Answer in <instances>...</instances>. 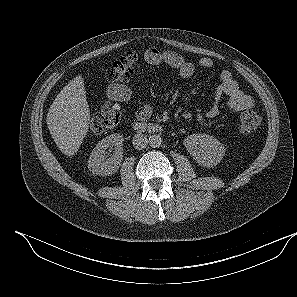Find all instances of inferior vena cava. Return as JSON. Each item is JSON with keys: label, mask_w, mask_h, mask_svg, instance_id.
<instances>
[{"label": "inferior vena cava", "mask_w": 297, "mask_h": 297, "mask_svg": "<svg viewBox=\"0 0 297 297\" xmlns=\"http://www.w3.org/2000/svg\"><path fill=\"white\" fill-rule=\"evenodd\" d=\"M135 149L142 150L148 145V139L145 134L137 133L132 140Z\"/></svg>", "instance_id": "inferior-vena-cava-1"}]
</instances>
